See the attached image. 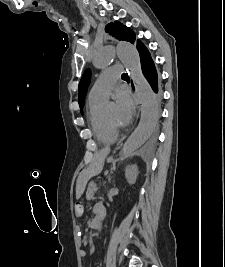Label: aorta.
<instances>
[{
  "label": "aorta",
  "mask_w": 225,
  "mask_h": 267,
  "mask_svg": "<svg viewBox=\"0 0 225 267\" xmlns=\"http://www.w3.org/2000/svg\"><path fill=\"white\" fill-rule=\"evenodd\" d=\"M115 54L127 68L141 104L140 122L124 144L121 152L122 157H127L140 148L151 135L158 119V104L149 83L142 73L139 53L131 43L119 42L116 47L103 46L94 56V66L98 69L106 68L111 64Z\"/></svg>",
  "instance_id": "aorta-1"
}]
</instances>
